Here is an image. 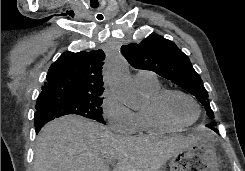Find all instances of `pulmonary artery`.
<instances>
[{
    "mask_svg": "<svg viewBox=\"0 0 245 171\" xmlns=\"http://www.w3.org/2000/svg\"><path fill=\"white\" fill-rule=\"evenodd\" d=\"M134 81L137 86L145 85L157 81V77L151 71L139 70L134 74Z\"/></svg>",
    "mask_w": 245,
    "mask_h": 171,
    "instance_id": "1",
    "label": "pulmonary artery"
}]
</instances>
